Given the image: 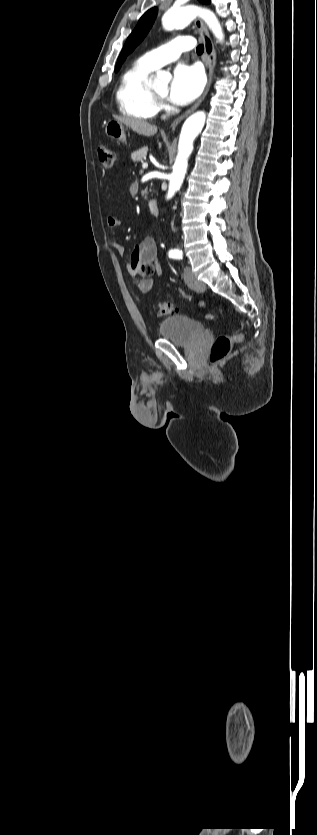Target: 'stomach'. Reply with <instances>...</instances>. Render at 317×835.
<instances>
[{"instance_id": "stomach-1", "label": "stomach", "mask_w": 317, "mask_h": 835, "mask_svg": "<svg viewBox=\"0 0 317 835\" xmlns=\"http://www.w3.org/2000/svg\"><path fill=\"white\" fill-rule=\"evenodd\" d=\"M125 126L122 122L117 120H109L105 126V134L109 138H112L115 141L125 142L126 134H125Z\"/></svg>"}]
</instances>
